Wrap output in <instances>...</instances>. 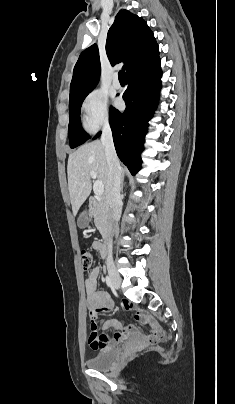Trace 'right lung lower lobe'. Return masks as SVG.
<instances>
[{
	"label": "right lung lower lobe",
	"instance_id": "98d812e1",
	"mask_svg": "<svg viewBox=\"0 0 235 404\" xmlns=\"http://www.w3.org/2000/svg\"><path fill=\"white\" fill-rule=\"evenodd\" d=\"M159 57L127 74L128 87L123 94L126 110L121 113L111 107L109 122L114 145L120 160L135 175L141 165L148 121L156 109L161 88ZM98 133L96 137H98Z\"/></svg>",
	"mask_w": 235,
	"mask_h": 404
}]
</instances>
